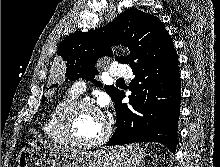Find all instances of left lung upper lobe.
Wrapping results in <instances>:
<instances>
[{
  "label": "left lung upper lobe",
  "mask_w": 220,
  "mask_h": 167,
  "mask_svg": "<svg viewBox=\"0 0 220 167\" xmlns=\"http://www.w3.org/2000/svg\"><path fill=\"white\" fill-rule=\"evenodd\" d=\"M113 44L129 47L131 55L116 59L131 68L157 60L174 49L171 36L158 18L137 9H128L100 29L77 31L61 42L57 53L67 62L66 80L83 78L101 87V83L94 80L98 74L95 63L99 57L112 55L109 48ZM104 88L114 102L122 92L114 86ZM45 100L43 97L42 101Z\"/></svg>",
  "instance_id": "1"
}]
</instances>
